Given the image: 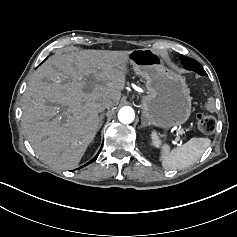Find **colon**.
Instances as JSON below:
<instances>
[{
  "mask_svg": "<svg viewBox=\"0 0 237 237\" xmlns=\"http://www.w3.org/2000/svg\"><path fill=\"white\" fill-rule=\"evenodd\" d=\"M209 109H213L216 106L214 99H210L207 103ZM216 120L213 116L207 114H201L197 118V128L204 134H210L215 130Z\"/></svg>",
  "mask_w": 237,
  "mask_h": 237,
  "instance_id": "1",
  "label": "colon"
}]
</instances>
